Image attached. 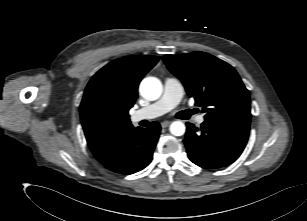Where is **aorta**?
Returning <instances> with one entry per match:
<instances>
[{
  "label": "aorta",
  "instance_id": "aorta-1",
  "mask_svg": "<svg viewBox=\"0 0 307 221\" xmlns=\"http://www.w3.org/2000/svg\"><path fill=\"white\" fill-rule=\"evenodd\" d=\"M139 91L145 99L153 101L160 97L162 93V84L155 77H147L142 80ZM185 129L184 123L180 121H175L170 125V132L175 136L183 135Z\"/></svg>",
  "mask_w": 307,
  "mask_h": 221
}]
</instances>
